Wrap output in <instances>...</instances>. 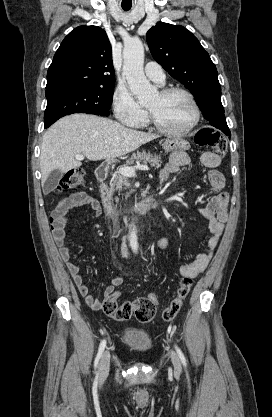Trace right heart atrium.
Wrapping results in <instances>:
<instances>
[{
    "instance_id": "d8ad5b80",
    "label": "right heart atrium",
    "mask_w": 272,
    "mask_h": 417,
    "mask_svg": "<svg viewBox=\"0 0 272 417\" xmlns=\"http://www.w3.org/2000/svg\"><path fill=\"white\" fill-rule=\"evenodd\" d=\"M112 108L116 119L127 126L135 127L146 118V111L124 85H119L114 90Z\"/></svg>"
}]
</instances>
